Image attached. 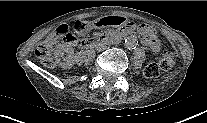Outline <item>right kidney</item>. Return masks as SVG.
I'll use <instances>...</instances> for the list:
<instances>
[{
    "instance_id": "obj_1",
    "label": "right kidney",
    "mask_w": 207,
    "mask_h": 123,
    "mask_svg": "<svg viewBox=\"0 0 207 123\" xmlns=\"http://www.w3.org/2000/svg\"><path fill=\"white\" fill-rule=\"evenodd\" d=\"M65 52H68V49H66V47L64 45H58L55 48V53H54L55 60L62 68L70 69L74 65V62L71 59L70 55L67 57H63ZM61 58H64V62H61Z\"/></svg>"
}]
</instances>
